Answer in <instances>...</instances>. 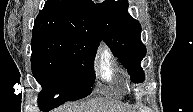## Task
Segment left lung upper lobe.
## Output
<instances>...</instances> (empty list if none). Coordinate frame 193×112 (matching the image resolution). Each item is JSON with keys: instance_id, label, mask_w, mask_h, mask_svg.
<instances>
[{"instance_id": "1", "label": "left lung upper lobe", "mask_w": 193, "mask_h": 112, "mask_svg": "<svg viewBox=\"0 0 193 112\" xmlns=\"http://www.w3.org/2000/svg\"><path fill=\"white\" fill-rule=\"evenodd\" d=\"M101 28V38L128 69L135 83L145 80L140 64L146 55L141 42V25L128 13V1L105 0L96 5Z\"/></svg>"}]
</instances>
